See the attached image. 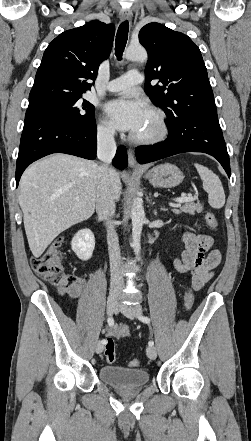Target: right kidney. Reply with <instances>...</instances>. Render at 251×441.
<instances>
[{
	"label": "right kidney",
	"instance_id": "obj_1",
	"mask_svg": "<svg viewBox=\"0 0 251 441\" xmlns=\"http://www.w3.org/2000/svg\"><path fill=\"white\" fill-rule=\"evenodd\" d=\"M71 247L77 257L87 261L92 257L95 237L90 229L79 230L72 238Z\"/></svg>",
	"mask_w": 251,
	"mask_h": 441
}]
</instances>
